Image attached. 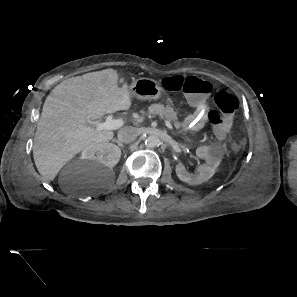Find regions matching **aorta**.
I'll return each mask as SVG.
<instances>
[{"label": "aorta", "mask_w": 297, "mask_h": 297, "mask_svg": "<svg viewBox=\"0 0 297 297\" xmlns=\"http://www.w3.org/2000/svg\"><path fill=\"white\" fill-rule=\"evenodd\" d=\"M145 144L149 148H155L160 145V138L157 135H149L146 140Z\"/></svg>", "instance_id": "aorta-1"}]
</instances>
